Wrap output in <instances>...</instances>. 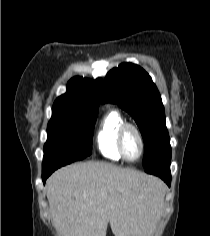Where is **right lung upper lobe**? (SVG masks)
<instances>
[{"instance_id":"1","label":"right lung upper lobe","mask_w":210,"mask_h":236,"mask_svg":"<svg viewBox=\"0 0 210 236\" xmlns=\"http://www.w3.org/2000/svg\"><path fill=\"white\" fill-rule=\"evenodd\" d=\"M102 91V79L91 81L74 77L68 82V90L58 97L53 108L74 111L98 110Z\"/></svg>"}]
</instances>
